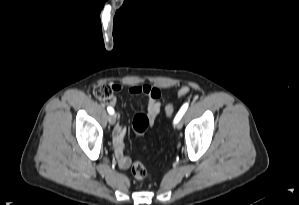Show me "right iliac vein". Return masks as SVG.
<instances>
[{"mask_svg": "<svg viewBox=\"0 0 299 205\" xmlns=\"http://www.w3.org/2000/svg\"><path fill=\"white\" fill-rule=\"evenodd\" d=\"M108 121L111 125H114L116 123V115L115 114H110L108 117Z\"/></svg>", "mask_w": 299, "mask_h": 205, "instance_id": "right-iliac-vein-1", "label": "right iliac vein"}]
</instances>
